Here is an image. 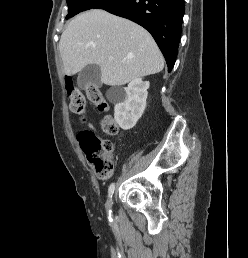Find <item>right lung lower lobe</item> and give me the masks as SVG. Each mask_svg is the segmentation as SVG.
<instances>
[{
	"label": "right lung lower lobe",
	"instance_id": "right-lung-lower-lobe-1",
	"mask_svg": "<svg viewBox=\"0 0 248 258\" xmlns=\"http://www.w3.org/2000/svg\"><path fill=\"white\" fill-rule=\"evenodd\" d=\"M98 8L148 30L165 57L168 72L172 70L181 36L184 0H111Z\"/></svg>",
	"mask_w": 248,
	"mask_h": 258
}]
</instances>
